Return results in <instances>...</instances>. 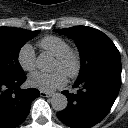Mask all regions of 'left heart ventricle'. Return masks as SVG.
Segmentation results:
<instances>
[{"mask_svg": "<svg viewBox=\"0 0 128 128\" xmlns=\"http://www.w3.org/2000/svg\"><path fill=\"white\" fill-rule=\"evenodd\" d=\"M53 70H61L65 74L67 72V69L65 67H63L61 64H59L57 61H55V63H54Z\"/></svg>", "mask_w": 128, "mask_h": 128, "instance_id": "left-heart-ventricle-1", "label": "left heart ventricle"}]
</instances>
